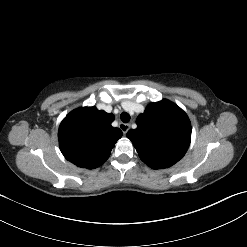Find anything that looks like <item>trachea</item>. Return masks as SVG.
I'll use <instances>...</instances> for the list:
<instances>
[{
  "instance_id": "obj_1",
  "label": "trachea",
  "mask_w": 247,
  "mask_h": 247,
  "mask_svg": "<svg viewBox=\"0 0 247 247\" xmlns=\"http://www.w3.org/2000/svg\"><path fill=\"white\" fill-rule=\"evenodd\" d=\"M120 118H121L122 122H124V123H128L130 121V115L126 112H123L120 115Z\"/></svg>"
}]
</instances>
